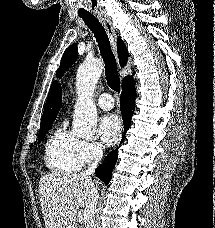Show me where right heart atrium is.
Here are the masks:
<instances>
[{
  "label": "right heart atrium",
  "instance_id": "right-heart-atrium-1",
  "mask_svg": "<svg viewBox=\"0 0 215 228\" xmlns=\"http://www.w3.org/2000/svg\"><path fill=\"white\" fill-rule=\"evenodd\" d=\"M104 154L103 146L96 141H82L80 156L82 163L89 164L99 161Z\"/></svg>",
  "mask_w": 215,
  "mask_h": 228
}]
</instances>
